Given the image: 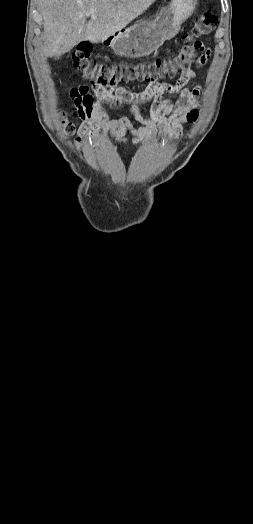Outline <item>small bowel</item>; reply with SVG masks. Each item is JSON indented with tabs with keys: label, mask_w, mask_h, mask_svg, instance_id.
Listing matches in <instances>:
<instances>
[{
	"label": "small bowel",
	"mask_w": 253,
	"mask_h": 524,
	"mask_svg": "<svg viewBox=\"0 0 253 524\" xmlns=\"http://www.w3.org/2000/svg\"><path fill=\"white\" fill-rule=\"evenodd\" d=\"M182 36L186 41L196 43L193 46L194 51L201 52L204 49L203 44L198 43L200 38H192L188 31H184ZM212 49V46H208ZM197 63L203 64L208 58V52L197 55ZM193 76L191 70L182 72L181 77L176 85H170L161 82H151L149 86L141 92L133 93L123 87H113L111 90H94L96 100L92 102L91 112L85 122L79 128L77 143H92L102 131L105 135L113 138L118 143H127V133H130L132 143L137 144L159 134L162 140L169 139L171 143H176L185 135V121L189 120V109L195 105L199 95L197 89L185 92L183 91L179 99L175 102L164 98L165 92L179 91ZM170 83V80H167ZM87 86H78V89L70 90L69 95L75 99L76 103L82 99H90ZM153 99L150 109V116L145 118L140 113L139 106ZM109 102L113 106L126 104L131 114L143 124L140 128H135L128 117H121L117 120L109 119L107 112L104 110L102 103Z\"/></svg>",
	"instance_id": "small-bowel-1"
}]
</instances>
